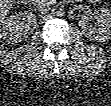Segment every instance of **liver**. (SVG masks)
<instances>
[{
	"instance_id": "obj_1",
	"label": "liver",
	"mask_w": 111,
	"mask_h": 106,
	"mask_svg": "<svg viewBox=\"0 0 111 106\" xmlns=\"http://www.w3.org/2000/svg\"><path fill=\"white\" fill-rule=\"evenodd\" d=\"M15 1L13 0H1L0 1V13L1 16H5L7 12L12 8Z\"/></svg>"
}]
</instances>
